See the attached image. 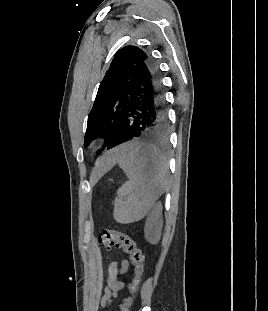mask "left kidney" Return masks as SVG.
<instances>
[{"label": "left kidney", "mask_w": 268, "mask_h": 311, "mask_svg": "<svg viewBox=\"0 0 268 311\" xmlns=\"http://www.w3.org/2000/svg\"><path fill=\"white\" fill-rule=\"evenodd\" d=\"M161 204H157L149 217L147 218V221L145 223L144 227V233L145 238L148 242L151 244H156L161 236V227H162V221H161Z\"/></svg>", "instance_id": "1"}]
</instances>
